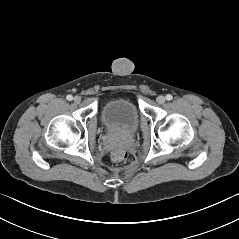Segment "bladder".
Wrapping results in <instances>:
<instances>
[{
	"label": "bladder",
	"mask_w": 239,
	"mask_h": 239,
	"mask_svg": "<svg viewBox=\"0 0 239 239\" xmlns=\"http://www.w3.org/2000/svg\"><path fill=\"white\" fill-rule=\"evenodd\" d=\"M101 120L109 132L130 135L138 129L139 111L130 99H110L101 109Z\"/></svg>",
	"instance_id": "obj_1"
}]
</instances>
